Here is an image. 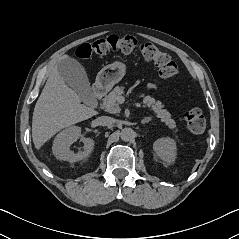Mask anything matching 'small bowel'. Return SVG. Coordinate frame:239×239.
Segmentation results:
<instances>
[{
  "instance_id": "small-bowel-1",
  "label": "small bowel",
  "mask_w": 239,
  "mask_h": 239,
  "mask_svg": "<svg viewBox=\"0 0 239 239\" xmlns=\"http://www.w3.org/2000/svg\"><path fill=\"white\" fill-rule=\"evenodd\" d=\"M158 85H159V81L158 80H154V81H152L151 83L148 84L147 89L148 90L157 89Z\"/></svg>"
}]
</instances>
